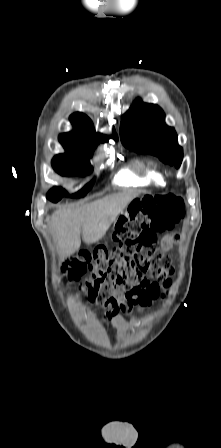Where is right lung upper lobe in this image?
<instances>
[{
	"mask_svg": "<svg viewBox=\"0 0 221 448\" xmlns=\"http://www.w3.org/2000/svg\"><path fill=\"white\" fill-rule=\"evenodd\" d=\"M70 121L74 129L59 136V141L65 149L64 154L90 159L97 144L109 139L105 135L96 133L92 121L83 113L72 114ZM112 136L118 140L114 130Z\"/></svg>",
	"mask_w": 221,
	"mask_h": 448,
	"instance_id": "1",
	"label": "right lung upper lobe"
}]
</instances>
